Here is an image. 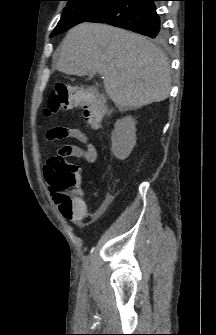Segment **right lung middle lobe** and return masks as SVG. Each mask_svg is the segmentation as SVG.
<instances>
[{"mask_svg":"<svg viewBox=\"0 0 216 335\" xmlns=\"http://www.w3.org/2000/svg\"><path fill=\"white\" fill-rule=\"evenodd\" d=\"M68 1L66 8L63 10L62 17L57 24L51 37L71 27L88 21L94 15L108 7L116 0H66ZM165 38V33L157 36V41H162Z\"/></svg>","mask_w":216,"mask_h":335,"instance_id":"1","label":"right lung middle lobe"}]
</instances>
